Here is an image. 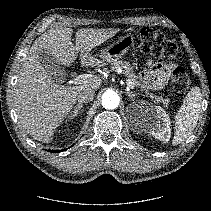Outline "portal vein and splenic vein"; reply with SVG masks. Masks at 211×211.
<instances>
[{"label": "portal vein and splenic vein", "mask_w": 211, "mask_h": 211, "mask_svg": "<svg viewBox=\"0 0 211 211\" xmlns=\"http://www.w3.org/2000/svg\"><path fill=\"white\" fill-rule=\"evenodd\" d=\"M91 77H92V75H90V74L78 75L76 78H74V83L79 84V83H81V82H83L86 79L91 78ZM126 84L129 88L133 89L134 84L130 79H126Z\"/></svg>", "instance_id": "1"}]
</instances>
